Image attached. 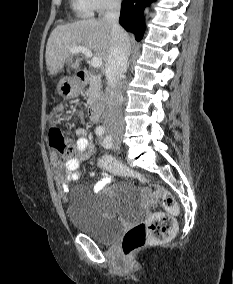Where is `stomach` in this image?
<instances>
[{
  "instance_id": "obj_1",
  "label": "stomach",
  "mask_w": 233,
  "mask_h": 284,
  "mask_svg": "<svg viewBox=\"0 0 233 284\" xmlns=\"http://www.w3.org/2000/svg\"><path fill=\"white\" fill-rule=\"evenodd\" d=\"M82 89V83L76 77H64L58 85L57 91L64 98H71L77 96Z\"/></svg>"
}]
</instances>
